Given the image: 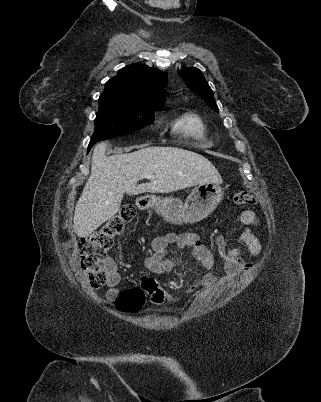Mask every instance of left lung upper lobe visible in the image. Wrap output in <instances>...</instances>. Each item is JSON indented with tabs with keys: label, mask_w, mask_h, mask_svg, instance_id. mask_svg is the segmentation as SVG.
Masks as SVG:
<instances>
[{
	"label": "left lung upper lobe",
	"mask_w": 321,
	"mask_h": 402,
	"mask_svg": "<svg viewBox=\"0 0 321 402\" xmlns=\"http://www.w3.org/2000/svg\"><path fill=\"white\" fill-rule=\"evenodd\" d=\"M180 75L186 85L197 93L204 101L216 112L218 107L213 97V91L203 77L201 71L194 67H189L180 71Z\"/></svg>",
	"instance_id": "obj_1"
}]
</instances>
